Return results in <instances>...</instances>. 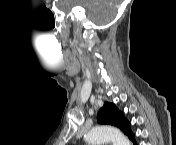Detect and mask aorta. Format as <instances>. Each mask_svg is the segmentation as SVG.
<instances>
[{
    "mask_svg": "<svg viewBox=\"0 0 176 145\" xmlns=\"http://www.w3.org/2000/svg\"><path fill=\"white\" fill-rule=\"evenodd\" d=\"M90 145H102L111 142L113 145H130V141L117 129L108 126L93 127L85 136Z\"/></svg>",
    "mask_w": 176,
    "mask_h": 145,
    "instance_id": "obj_1",
    "label": "aorta"
}]
</instances>
